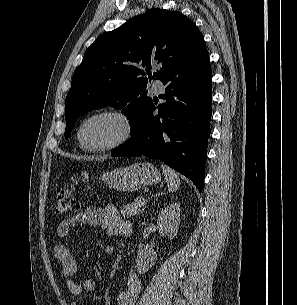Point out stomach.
Instances as JSON below:
<instances>
[{
  "label": "stomach",
  "instance_id": "obj_1",
  "mask_svg": "<svg viewBox=\"0 0 297 305\" xmlns=\"http://www.w3.org/2000/svg\"><path fill=\"white\" fill-rule=\"evenodd\" d=\"M100 179L110 188L121 192H131L159 183L161 174L154 165L145 162L104 172Z\"/></svg>",
  "mask_w": 297,
  "mask_h": 305
}]
</instances>
